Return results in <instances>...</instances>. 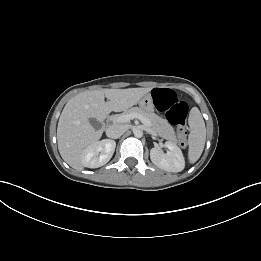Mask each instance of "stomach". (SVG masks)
<instances>
[{"label":"stomach","mask_w":261,"mask_h":261,"mask_svg":"<svg viewBox=\"0 0 261 261\" xmlns=\"http://www.w3.org/2000/svg\"><path fill=\"white\" fill-rule=\"evenodd\" d=\"M139 106L142 110L147 112H153L154 104L150 94L145 95L140 101Z\"/></svg>","instance_id":"1"}]
</instances>
